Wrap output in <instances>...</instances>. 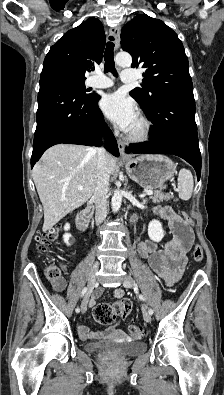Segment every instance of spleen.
Instances as JSON below:
<instances>
[{
	"mask_svg": "<svg viewBox=\"0 0 224 395\" xmlns=\"http://www.w3.org/2000/svg\"><path fill=\"white\" fill-rule=\"evenodd\" d=\"M194 187L192 173L187 169H181L178 175L179 197L187 201L191 198Z\"/></svg>",
	"mask_w": 224,
	"mask_h": 395,
	"instance_id": "spleen-1",
	"label": "spleen"
}]
</instances>
